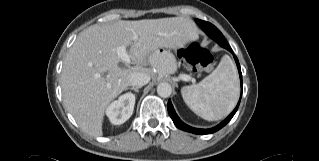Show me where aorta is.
<instances>
[{
    "instance_id": "aorta-1",
    "label": "aorta",
    "mask_w": 319,
    "mask_h": 161,
    "mask_svg": "<svg viewBox=\"0 0 319 161\" xmlns=\"http://www.w3.org/2000/svg\"><path fill=\"white\" fill-rule=\"evenodd\" d=\"M157 93L162 98H167L172 93V87L167 82H162L157 86Z\"/></svg>"
}]
</instances>
